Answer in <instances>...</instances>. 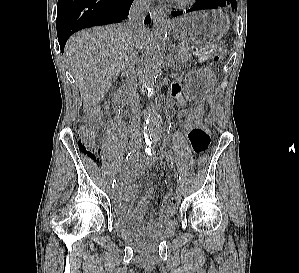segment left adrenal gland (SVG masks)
Segmentation results:
<instances>
[{"mask_svg": "<svg viewBox=\"0 0 299 273\" xmlns=\"http://www.w3.org/2000/svg\"><path fill=\"white\" fill-rule=\"evenodd\" d=\"M167 66L170 68H175V63H174V60H173V57L171 54H169L168 56V59H167Z\"/></svg>", "mask_w": 299, "mask_h": 273, "instance_id": "a2214340", "label": "left adrenal gland"}]
</instances>
